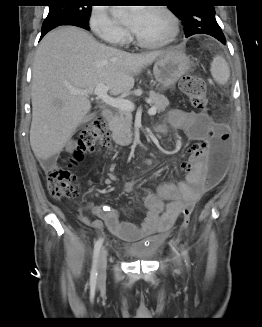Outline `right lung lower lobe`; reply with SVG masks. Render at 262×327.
Wrapping results in <instances>:
<instances>
[{"mask_svg":"<svg viewBox=\"0 0 262 327\" xmlns=\"http://www.w3.org/2000/svg\"><path fill=\"white\" fill-rule=\"evenodd\" d=\"M60 25H74V26L84 28L86 30L90 29L89 26H88V23H85V22H82V21H79V20H74V19H64V20H59V21H55V22H52V23L42 25L40 39L43 38L44 35L46 33H48L50 30H52L53 28H55L57 26H60Z\"/></svg>","mask_w":262,"mask_h":327,"instance_id":"obj_1","label":"right lung lower lobe"}]
</instances>
